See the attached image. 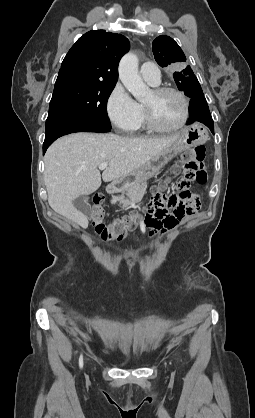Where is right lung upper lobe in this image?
Returning <instances> with one entry per match:
<instances>
[{"label": "right lung upper lobe", "instance_id": "obj_1", "mask_svg": "<svg viewBox=\"0 0 255 418\" xmlns=\"http://www.w3.org/2000/svg\"><path fill=\"white\" fill-rule=\"evenodd\" d=\"M129 48L128 39L121 34L89 31L65 56L55 85L65 82L115 85L119 61Z\"/></svg>", "mask_w": 255, "mask_h": 418}]
</instances>
